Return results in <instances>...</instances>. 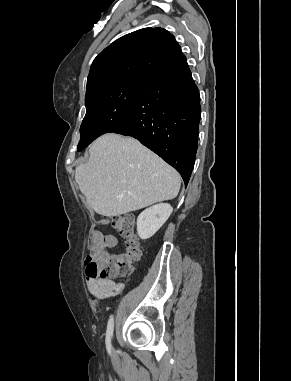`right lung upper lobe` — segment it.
<instances>
[{
    "mask_svg": "<svg viewBox=\"0 0 291 381\" xmlns=\"http://www.w3.org/2000/svg\"><path fill=\"white\" fill-rule=\"evenodd\" d=\"M182 55L174 36L163 28H144L105 48L93 61L86 96L130 80H145Z\"/></svg>",
    "mask_w": 291,
    "mask_h": 381,
    "instance_id": "obj_1",
    "label": "right lung upper lobe"
}]
</instances>
